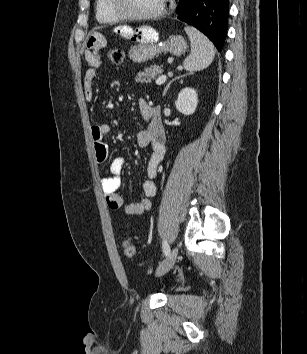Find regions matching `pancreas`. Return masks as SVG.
<instances>
[{"mask_svg":"<svg viewBox=\"0 0 307 354\" xmlns=\"http://www.w3.org/2000/svg\"><path fill=\"white\" fill-rule=\"evenodd\" d=\"M162 72H163L162 66H158V65L150 66L144 68V70L137 73L135 81L140 82L142 84L151 83L152 80L156 78L158 75L162 74Z\"/></svg>","mask_w":307,"mask_h":354,"instance_id":"1","label":"pancreas"}]
</instances>
